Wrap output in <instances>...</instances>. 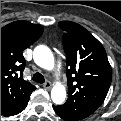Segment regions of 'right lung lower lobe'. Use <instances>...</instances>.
Segmentation results:
<instances>
[{
  "label": "right lung lower lobe",
  "mask_w": 121,
  "mask_h": 121,
  "mask_svg": "<svg viewBox=\"0 0 121 121\" xmlns=\"http://www.w3.org/2000/svg\"><path fill=\"white\" fill-rule=\"evenodd\" d=\"M28 101H29V98H27L23 103H21L19 106H17L13 110H11L3 115L4 116H13V115L20 113L21 111H23L26 108Z\"/></svg>",
  "instance_id": "obj_1"
}]
</instances>
